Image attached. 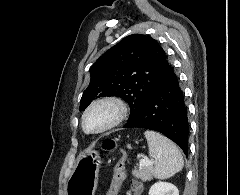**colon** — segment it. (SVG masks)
Here are the masks:
<instances>
[{
	"label": "colon",
	"instance_id": "colon-1",
	"mask_svg": "<svg viewBox=\"0 0 240 195\" xmlns=\"http://www.w3.org/2000/svg\"><path fill=\"white\" fill-rule=\"evenodd\" d=\"M115 143L113 141L106 142V150H113L115 148ZM116 153L120 154V160L116 164V167L113 170V183L111 184L110 195H116L119 191L120 181L124 180V170L125 164L128 160V153L123 151L122 147L116 148Z\"/></svg>",
	"mask_w": 240,
	"mask_h": 195
}]
</instances>
